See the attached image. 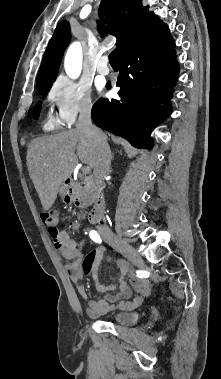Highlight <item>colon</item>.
Segmentation results:
<instances>
[{
  "instance_id": "obj_1",
  "label": "colon",
  "mask_w": 221,
  "mask_h": 379,
  "mask_svg": "<svg viewBox=\"0 0 221 379\" xmlns=\"http://www.w3.org/2000/svg\"><path fill=\"white\" fill-rule=\"evenodd\" d=\"M77 206L80 208H83L82 202H77ZM83 218V216H80L79 220H76L73 224V227L75 229H78L80 227V220ZM41 220L48 227V231L50 234L55 235L58 232V227L60 224V216L59 213L55 210H49L46 212H43L41 214Z\"/></svg>"
}]
</instances>
